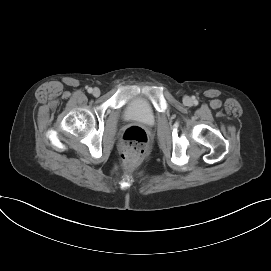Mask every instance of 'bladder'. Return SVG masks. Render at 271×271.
Returning a JSON list of instances; mask_svg holds the SVG:
<instances>
[{"label":"bladder","instance_id":"31cf9c89","mask_svg":"<svg viewBox=\"0 0 271 271\" xmlns=\"http://www.w3.org/2000/svg\"><path fill=\"white\" fill-rule=\"evenodd\" d=\"M124 118L152 125L155 122V112L146 99L143 97H135L126 105Z\"/></svg>","mask_w":271,"mask_h":271}]
</instances>
